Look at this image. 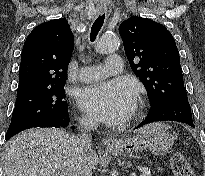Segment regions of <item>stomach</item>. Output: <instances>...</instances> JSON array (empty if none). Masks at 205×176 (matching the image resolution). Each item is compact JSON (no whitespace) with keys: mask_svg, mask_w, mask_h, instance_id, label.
Segmentation results:
<instances>
[{"mask_svg":"<svg viewBox=\"0 0 205 176\" xmlns=\"http://www.w3.org/2000/svg\"><path fill=\"white\" fill-rule=\"evenodd\" d=\"M165 125L152 124L142 128L134 137L119 139L109 152L125 155L133 151L149 150L156 155L166 154L173 146V137L164 131Z\"/></svg>","mask_w":205,"mask_h":176,"instance_id":"obj_1","label":"stomach"}]
</instances>
